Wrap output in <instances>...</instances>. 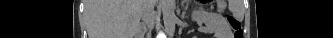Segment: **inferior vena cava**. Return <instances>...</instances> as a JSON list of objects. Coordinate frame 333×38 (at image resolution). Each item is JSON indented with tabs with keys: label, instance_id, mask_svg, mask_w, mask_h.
Here are the masks:
<instances>
[{
	"label": "inferior vena cava",
	"instance_id": "inferior-vena-cava-1",
	"mask_svg": "<svg viewBox=\"0 0 333 38\" xmlns=\"http://www.w3.org/2000/svg\"><path fill=\"white\" fill-rule=\"evenodd\" d=\"M153 4L154 0H144L142 18L147 26H152L154 23Z\"/></svg>",
	"mask_w": 333,
	"mask_h": 38
}]
</instances>
